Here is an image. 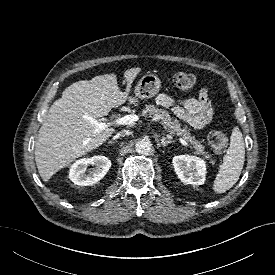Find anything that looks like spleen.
<instances>
[{
	"label": "spleen",
	"mask_w": 275,
	"mask_h": 275,
	"mask_svg": "<svg viewBox=\"0 0 275 275\" xmlns=\"http://www.w3.org/2000/svg\"><path fill=\"white\" fill-rule=\"evenodd\" d=\"M245 161L243 135L239 128H234L230 137V146L224 155L223 164L215 178L213 190L224 193L238 181Z\"/></svg>",
	"instance_id": "3e777b00"
}]
</instances>
